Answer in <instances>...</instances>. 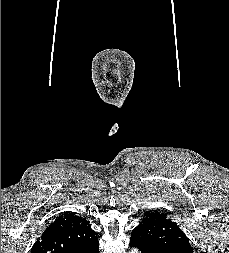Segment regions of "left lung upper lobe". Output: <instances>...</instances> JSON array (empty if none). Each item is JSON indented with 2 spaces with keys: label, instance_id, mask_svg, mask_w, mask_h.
I'll list each match as a JSON object with an SVG mask.
<instances>
[{
  "label": "left lung upper lobe",
  "instance_id": "left-lung-upper-lobe-1",
  "mask_svg": "<svg viewBox=\"0 0 229 253\" xmlns=\"http://www.w3.org/2000/svg\"><path fill=\"white\" fill-rule=\"evenodd\" d=\"M131 242L151 253H193L183 231L158 211L144 213L131 233Z\"/></svg>",
  "mask_w": 229,
  "mask_h": 253
}]
</instances>
